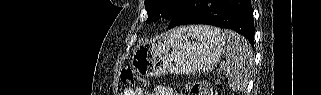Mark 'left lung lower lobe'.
<instances>
[{
  "instance_id": "1",
  "label": "left lung lower lobe",
  "mask_w": 321,
  "mask_h": 95,
  "mask_svg": "<svg viewBox=\"0 0 321 95\" xmlns=\"http://www.w3.org/2000/svg\"><path fill=\"white\" fill-rule=\"evenodd\" d=\"M169 20V28L187 24L229 28L254 44L251 0H184Z\"/></svg>"
}]
</instances>
